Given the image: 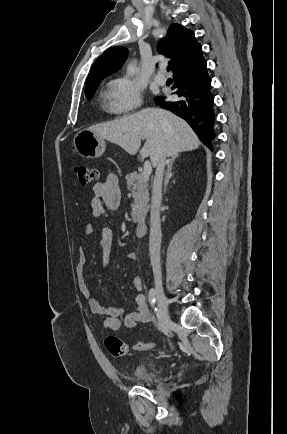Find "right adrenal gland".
Wrapping results in <instances>:
<instances>
[{"mask_svg": "<svg viewBox=\"0 0 287 434\" xmlns=\"http://www.w3.org/2000/svg\"><path fill=\"white\" fill-rule=\"evenodd\" d=\"M175 159H176V157H172V158L167 162L168 169H167L166 177H165V181H164V187H165V188L167 187L170 178L173 176V173H172V167H173V163H174Z\"/></svg>", "mask_w": 287, "mask_h": 434, "instance_id": "obj_1", "label": "right adrenal gland"}]
</instances>
